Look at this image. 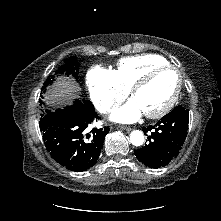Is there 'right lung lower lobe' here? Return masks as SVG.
I'll use <instances>...</instances> for the list:
<instances>
[{
	"label": "right lung lower lobe",
	"instance_id": "obj_1",
	"mask_svg": "<svg viewBox=\"0 0 221 221\" xmlns=\"http://www.w3.org/2000/svg\"><path fill=\"white\" fill-rule=\"evenodd\" d=\"M100 119L93 106L73 104L49 111L40 120V130L47 151L68 170L82 172L94 166L99 158L109 127L86 128Z\"/></svg>",
	"mask_w": 221,
	"mask_h": 221
}]
</instances>
